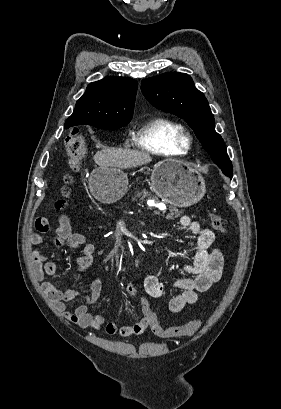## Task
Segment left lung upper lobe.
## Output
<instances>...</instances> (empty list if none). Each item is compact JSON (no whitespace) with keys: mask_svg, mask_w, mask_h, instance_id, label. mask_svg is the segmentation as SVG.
Listing matches in <instances>:
<instances>
[{"mask_svg":"<svg viewBox=\"0 0 281 409\" xmlns=\"http://www.w3.org/2000/svg\"><path fill=\"white\" fill-rule=\"evenodd\" d=\"M146 99L156 108L184 119L222 172L232 177L233 167L207 99L185 73L169 72L141 82Z\"/></svg>","mask_w":281,"mask_h":409,"instance_id":"1","label":"left lung upper lobe"}]
</instances>
